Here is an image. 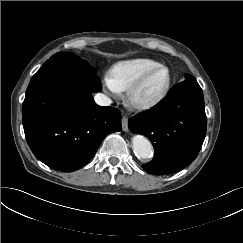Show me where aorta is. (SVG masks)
Returning a JSON list of instances; mask_svg holds the SVG:
<instances>
[{"label": "aorta", "instance_id": "1", "mask_svg": "<svg viewBox=\"0 0 243 243\" xmlns=\"http://www.w3.org/2000/svg\"><path fill=\"white\" fill-rule=\"evenodd\" d=\"M132 148L135 155L140 159L150 158L153 152L150 141L141 135L132 138Z\"/></svg>", "mask_w": 243, "mask_h": 243}]
</instances>
